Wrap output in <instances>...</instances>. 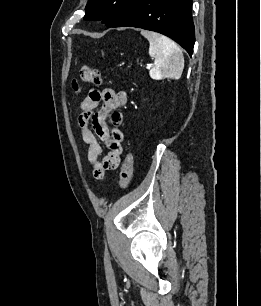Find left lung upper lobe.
I'll return each instance as SVG.
<instances>
[{
	"mask_svg": "<svg viewBox=\"0 0 261 306\" xmlns=\"http://www.w3.org/2000/svg\"><path fill=\"white\" fill-rule=\"evenodd\" d=\"M133 0H89L85 8L84 19H103V23L112 27L127 11Z\"/></svg>",
	"mask_w": 261,
	"mask_h": 306,
	"instance_id": "1",
	"label": "left lung upper lobe"
}]
</instances>
